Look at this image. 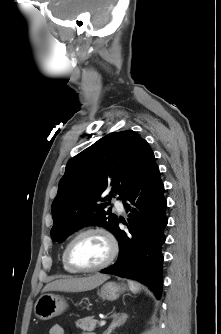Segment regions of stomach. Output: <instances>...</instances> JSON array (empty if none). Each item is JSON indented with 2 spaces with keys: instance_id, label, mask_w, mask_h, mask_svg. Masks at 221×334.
<instances>
[{
  "instance_id": "obj_1",
  "label": "stomach",
  "mask_w": 221,
  "mask_h": 334,
  "mask_svg": "<svg viewBox=\"0 0 221 334\" xmlns=\"http://www.w3.org/2000/svg\"><path fill=\"white\" fill-rule=\"evenodd\" d=\"M126 287L115 282H107L100 289V297L104 300L114 301ZM66 301L59 295L47 293L41 295L34 306V313L40 320H49L60 315L67 308Z\"/></svg>"
}]
</instances>
